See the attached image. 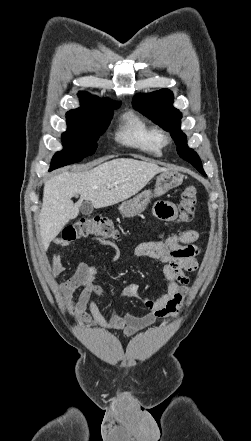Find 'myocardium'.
I'll use <instances>...</instances> for the list:
<instances>
[{"label":"myocardium","instance_id":"f54148a6","mask_svg":"<svg viewBox=\"0 0 251 441\" xmlns=\"http://www.w3.org/2000/svg\"><path fill=\"white\" fill-rule=\"evenodd\" d=\"M171 138L169 136V134L167 133H162V141L163 144H168L170 142Z\"/></svg>","mask_w":251,"mask_h":441}]
</instances>
